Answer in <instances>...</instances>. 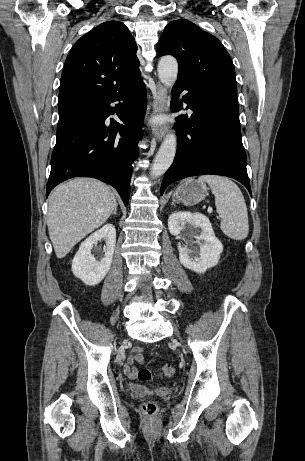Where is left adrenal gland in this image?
Wrapping results in <instances>:
<instances>
[{
    "mask_svg": "<svg viewBox=\"0 0 305 461\" xmlns=\"http://www.w3.org/2000/svg\"><path fill=\"white\" fill-rule=\"evenodd\" d=\"M172 205H174V206H175L174 202H172Z\"/></svg>",
    "mask_w": 305,
    "mask_h": 461,
    "instance_id": "left-adrenal-gland-1",
    "label": "left adrenal gland"
}]
</instances>
